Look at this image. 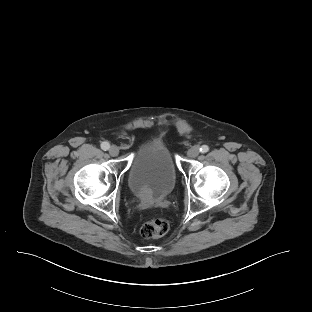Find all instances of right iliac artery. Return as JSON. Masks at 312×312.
<instances>
[{
	"instance_id": "1",
	"label": "right iliac artery",
	"mask_w": 312,
	"mask_h": 312,
	"mask_svg": "<svg viewBox=\"0 0 312 312\" xmlns=\"http://www.w3.org/2000/svg\"><path fill=\"white\" fill-rule=\"evenodd\" d=\"M109 147H110V144H109L108 142H102L101 148H102L104 151L108 150Z\"/></svg>"
}]
</instances>
